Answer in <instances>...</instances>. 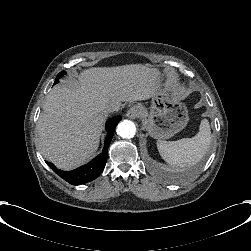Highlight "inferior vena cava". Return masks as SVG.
I'll list each match as a JSON object with an SVG mask.
<instances>
[{
  "label": "inferior vena cava",
  "instance_id": "inferior-vena-cava-1",
  "mask_svg": "<svg viewBox=\"0 0 251 251\" xmlns=\"http://www.w3.org/2000/svg\"><path fill=\"white\" fill-rule=\"evenodd\" d=\"M120 109V105L119 104H115V105H111L108 107L107 111L109 113H112L114 111H118Z\"/></svg>",
  "mask_w": 251,
  "mask_h": 251
}]
</instances>
